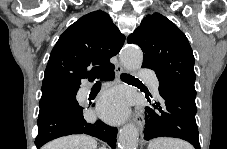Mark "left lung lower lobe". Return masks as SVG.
I'll return each mask as SVG.
<instances>
[{
	"label": "left lung lower lobe",
	"instance_id": "1",
	"mask_svg": "<svg viewBox=\"0 0 227 149\" xmlns=\"http://www.w3.org/2000/svg\"><path fill=\"white\" fill-rule=\"evenodd\" d=\"M161 101L152 102V108L144 110V140L156 137H174L190 142L200 149L198 128L195 120L197 107L195 99L173 90L160 91Z\"/></svg>",
	"mask_w": 227,
	"mask_h": 149
}]
</instances>
